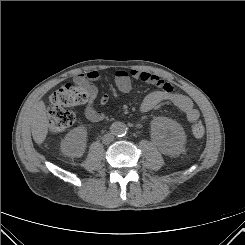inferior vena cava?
I'll return each mask as SVG.
<instances>
[{"label": "inferior vena cava", "mask_w": 245, "mask_h": 245, "mask_svg": "<svg viewBox=\"0 0 245 245\" xmlns=\"http://www.w3.org/2000/svg\"><path fill=\"white\" fill-rule=\"evenodd\" d=\"M114 140V136L112 133H107L103 136V143L109 144Z\"/></svg>", "instance_id": "602c4592"}]
</instances>
